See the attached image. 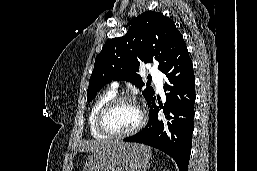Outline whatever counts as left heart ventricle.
I'll return each instance as SVG.
<instances>
[{
  "instance_id": "obj_1",
  "label": "left heart ventricle",
  "mask_w": 257,
  "mask_h": 171,
  "mask_svg": "<svg viewBox=\"0 0 257 171\" xmlns=\"http://www.w3.org/2000/svg\"><path fill=\"white\" fill-rule=\"evenodd\" d=\"M140 120V111L132 103H120L105 117L106 127L114 133H123L134 128Z\"/></svg>"
}]
</instances>
